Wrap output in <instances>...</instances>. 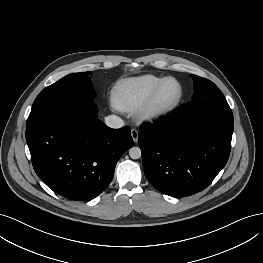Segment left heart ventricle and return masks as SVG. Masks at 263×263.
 Returning a JSON list of instances; mask_svg holds the SVG:
<instances>
[{
    "instance_id": "b2bd125f",
    "label": "left heart ventricle",
    "mask_w": 263,
    "mask_h": 263,
    "mask_svg": "<svg viewBox=\"0 0 263 263\" xmlns=\"http://www.w3.org/2000/svg\"><path fill=\"white\" fill-rule=\"evenodd\" d=\"M179 94V86L174 81H169L163 88L160 100L163 103H168L174 100Z\"/></svg>"
}]
</instances>
